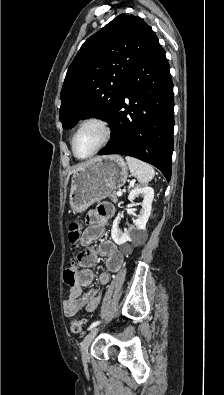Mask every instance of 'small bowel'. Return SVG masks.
Instances as JSON below:
<instances>
[{"instance_id":"obj_1","label":"small bowel","mask_w":224,"mask_h":395,"mask_svg":"<svg viewBox=\"0 0 224 395\" xmlns=\"http://www.w3.org/2000/svg\"><path fill=\"white\" fill-rule=\"evenodd\" d=\"M114 211L111 204L103 203L88 213V226L83 233L85 245L103 237L107 220L114 214ZM99 258L105 259L107 272L99 273L98 281L106 285L110 280V273L120 270L124 255L112 240H102L97 247H89L79 256L78 261L82 269L78 272L74 285L71 286L69 297L64 301L66 316H74L81 309L91 313L99 306L101 294L98 290L89 289L84 292V288L90 286L94 280L91 267L98 262Z\"/></svg>"}]
</instances>
